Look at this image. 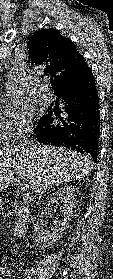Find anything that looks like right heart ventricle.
I'll return each mask as SVG.
<instances>
[{
	"label": "right heart ventricle",
	"instance_id": "obj_1",
	"mask_svg": "<svg viewBox=\"0 0 113 279\" xmlns=\"http://www.w3.org/2000/svg\"><path fill=\"white\" fill-rule=\"evenodd\" d=\"M4 137H5L4 130H3L2 124L0 123V144L3 142Z\"/></svg>",
	"mask_w": 113,
	"mask_h": 279
}]
</instances>
